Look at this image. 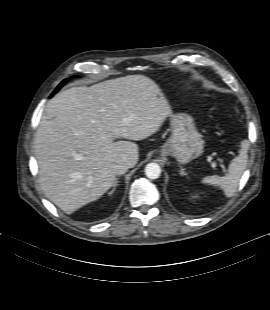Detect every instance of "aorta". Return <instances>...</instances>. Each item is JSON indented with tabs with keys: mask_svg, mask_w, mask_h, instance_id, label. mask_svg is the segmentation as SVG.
Masks as SVG:
<instances>
[{
	"mask_svg": "<svg viewBox=\"0 0 270 310\" xmlns=\"http://www.w3.org/2000/svg\"><path fill=\"white\" fill-rule=\"evenodd\" d=\"M161 174V168L157 163H149L145 167V175L149 179H157Z\"/></svg>",
	"mask_w": 270,
	"mask_h": 310,
	"instance_id": "obj_1",
	"label": "aorta"
}]
</instances>
